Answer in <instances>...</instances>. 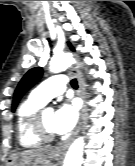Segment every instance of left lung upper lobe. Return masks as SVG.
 Returning <instances> with one entry per match:
<instances>
[{
	"label": "left lung upper lobe",
	"mask_w": 135,
	"mask_h": 166,
	"mask_svg": "<svg viewBox=\"0 0 135 166\" xmlns=\"http://www.w3.org/2000/svg\"><path fill=\"white\" fill-rule=\"evenodd\" d=\"M71 50L74 51V48L69 44ZM43 73L42 68L36 67L30 69L24 77L19 82L15 93L13 97V103H12V111L16 109V106L21 99V97L24 95L26 91H28L35 83L38 82V80L41 78Z\"/></svg>",
	"instance_id": "left-lung-upper-lobe-1"
}]
</instances>
